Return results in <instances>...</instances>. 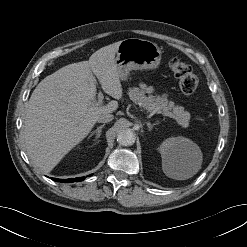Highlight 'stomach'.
Returning a JSON list of instances; mask_svg holds the SVG:
<instances>
[{"mask_svg": "<svg viewBox=\"0 0 247 247\" xmlns=\"http://www.w3.org/2000/svg\"><path fill=\"white\" fill-rule=\"evenodd\" d=\"M115 63L121 80H126L132 70H152L158 68L162 51L151 41L128 38L120 41Z\"/></svg>", "mask_w": 247, "mask_h": 247, "instance_id": "1", "label": "stomach"}]
</instances>
